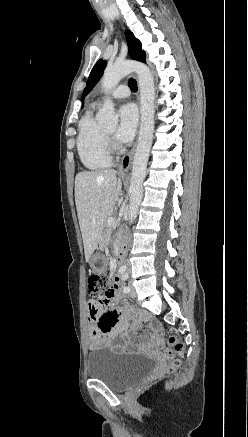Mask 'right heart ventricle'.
<instances>
[{
  "mask_svg": "<svg viewBox=\"0 0 248 437\" xmlns=\"http://www.w3.org/2000/svg\"><path fill=\"white\" fill-rule=\"evenodd\" d=\"M77 151L86 169L97 171L111 164V155L105 131L91 112L85 114L79 123Z\"/></svg>",
  "mask_w": 248,
  "mask_h": 437,
  "instance_id": "right-heart-ventricle-1",
  "label": "right heart ventricle"
}]
</instances>
